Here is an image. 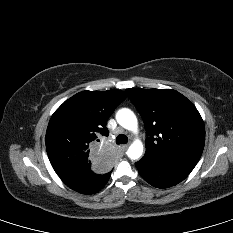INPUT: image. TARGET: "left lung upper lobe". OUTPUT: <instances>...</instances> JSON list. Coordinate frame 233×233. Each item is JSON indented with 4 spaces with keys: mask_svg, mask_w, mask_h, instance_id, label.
<instances>
[{
    "mask_svg": "<svg viewBox=\"0 0 233 233\" xmlns=\"http://www.w3.org/2000/svg\"><path fill=\"white\" fill-rule=\"evenodd\" d=\"M126 92L145 123L146 155L200 159L205 142L204 122L185 96L171 89Z\"/></svg>",
    "mask_w": 233,
    "mask_h": 233,
    "instance_id": "5c2ea615",
    "label": "left lung upper lobe"
}]
</instances>
